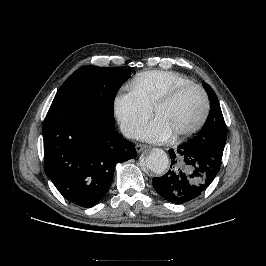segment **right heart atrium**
I'll return each instance as SVG.
<instances>
[{
    "label": "right heart atrium",
    "mask_w": 266,
    "mask_h": 266,
    "mask_svg": "<svg viewBox=\"0 0 266 266\" xmlns=\"http://www.w3.org/2000/svg\"><path fill=\"white\" fill-rule=\"evenodd\" d=\"M113 108L122 132L128 137L133 136L151 115V109L131 89L115 96Z\"/></svg>",
    "instance_id": "1"
}]
</instances>
